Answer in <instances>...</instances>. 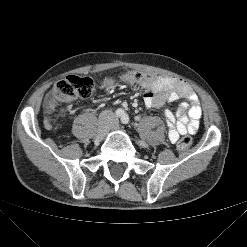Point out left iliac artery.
I'll return each mask as SVG.
<instances>
[{
  "label": "left iliac artery",
  "instance_id": "obj_1",
  "mask_svg": "<svg viewBox=\"0 0 247 247\" xmlns=\"http://www.w3.org/2000/svg\"><path fill=\"white\" fill-rule=\"evenodd\" d=\"M121 122H122L123 124H127V123L129 122V117H128L127 114H123V115H122V117H121ZM140 145H141L142 147H147V146H148V145H147L145 142H143V141H140Z\"/></svg>",
  "mask_w": 247,
  "mask_h": 247
}]
</instances>
